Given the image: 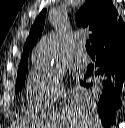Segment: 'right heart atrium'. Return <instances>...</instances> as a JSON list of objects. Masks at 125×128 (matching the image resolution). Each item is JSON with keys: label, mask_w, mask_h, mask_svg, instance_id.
I'll return each instance as SVG.
<instances>
[{"label": "right heart atrium", "mask_w": 125, "mask_h": 128, "mask_svg": "<svg viewBox=\"0 0 125 128\" xmlns=\"http://www.w3.org/2000/svg\"><path fill=\"white\" fill-rule=\"evenodd\" d=\"M27 91L32 105L40 109L52 108L64 96L61 79L53 71H31Z\"/></svg>", "instance_id": "d8ad5b80"}]
</instances>
